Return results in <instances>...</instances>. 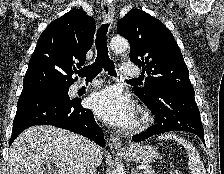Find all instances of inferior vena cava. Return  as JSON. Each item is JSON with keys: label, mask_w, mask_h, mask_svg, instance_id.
<instances>
[{"label": "inferior vena cava", "mask_w": 224, "mask_h": 174, "mask_svg": "<svg viewBox=\"0 0 224 174\" xmlns=\"http://www.w3.org/2000/svg\"><path fill=\"white\" fill-rule=\"evenodd\" d=\"M100 152L99 147L92 141H86L83 147V157L81 161V165L78 169V174H97L96 168V157Z\"/></svg>", "instance_id": "602c4592"}]
</instances>
